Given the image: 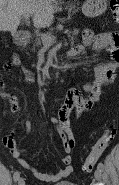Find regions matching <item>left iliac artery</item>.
I'll return each mask as SVG.
<instances>
[{
    "label": "left iliac artery",
    "instance_id": "44dca946",
    "mask_svg": "<svg viewBox=\"0 0 119 185\" xmlns=\"http://www.w3.org/2000/svg\"><path fill=\"white\" fill-rule=\"evenodd\" d=\"M98 168L101 169V170H103L104 169V164L102 162H99Z\"/></svg>",
    "mask_w": 119,
    "mask_h": 185
}]
</instances>
